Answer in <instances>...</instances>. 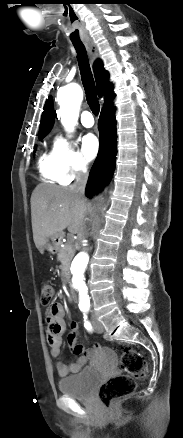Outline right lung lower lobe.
<instances>
[{"label": "right lung lower lobe", "mask_w": 183, "mask_h": 438, "mask_svg": "<svg viewBox=\"0 0 183 438\" xmlns=\"http://www.w3.org/2000/svg\"><path fill=\"white\" fill-rule=\"evenodd\" d=\"M114 108H103L98 121L100 147L98 156L89 173L86 195L91 198L106 186L113 175L117 154V134Z\"/></svg>", "instance_id": "98d812e1"}]
</instances>
